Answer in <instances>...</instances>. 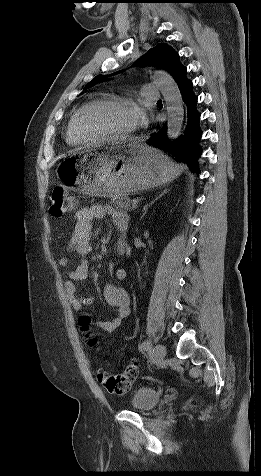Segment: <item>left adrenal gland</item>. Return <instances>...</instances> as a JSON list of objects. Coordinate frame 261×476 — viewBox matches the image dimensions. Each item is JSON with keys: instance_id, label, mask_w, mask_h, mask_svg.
Masks as SVG:
<instances>
[{"instance_id": "left-adrenal-gland-1", "label": "left adrenal gland", "mask_w": 261, "mask_h": 476, "mask_svg": "<svg viewBox=\"0 0 261 476\" xmlns=\"http://www.w3.org/2000/svg\"><path fill=\"white\" fill-rule=\"evenodd\" d=\"M169 190L165 189L163 190L158 196H156V198L154 200H152L149 204H146L143 208V214L141 216V219L145 216V214L147 213V210L148 208L156 201L158 200L159 198H161L164 194H166Z\"/></svg>"}]
</instances>
